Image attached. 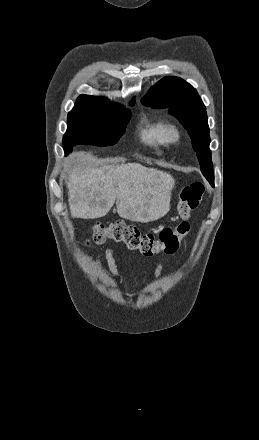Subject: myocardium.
<instances>
[{
	"label": "myocardium",
	"mask_w": 259,
	"mask_h": 440,
	"mask_svg": "<svg viewBox=\"0 0 259 440\" xmlns=\"http://www.w3.org/2000/svg\"><path fill=\"white\" fill-rule=\"evenodd\" d=\"M166 137L169 143H177L181 140L182 132L176 124H168L166 128Z\"/></svg>",
	"instance_id": "obj_1"
}]
</instances>
